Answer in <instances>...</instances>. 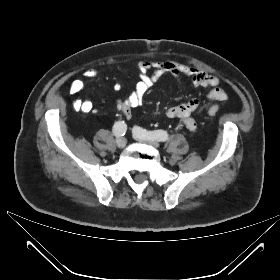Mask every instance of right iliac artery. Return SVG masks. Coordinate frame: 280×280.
I'll return each instance as SVG.
<instances>
[{
  "label": "right iliac artery",
  "mask_w": 280,
  "mask_h": 280,
  "mask_svg": "<svg viewBox=\"0 0 280 280\" xmlns=\"http://www.w3.org/2000/svg\"><path fill=\"white\" fill-rule=\"evenodd\" d=\"M127 130V125L124 121H118L113 126V133L116 137L124 136Z\"/></svg>",
  "instance_id": "82829eb1"
}]
</instances>
